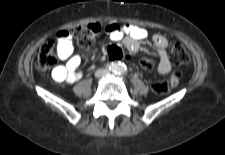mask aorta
<instances>
[{
	"instance_id": "aorta-1",
	"label": "aorta",
	"mask_w": 225,
	"mask_h": 155,
	"mask_svg": "<svg viewBox=\"0 0 225 155\" xmlns=\"http://www.w3.org/2000/svg\"><path fill=\"white\" fill-rule=\"evenodd\" d=\"M125 70H126L125 65H124V64H121V63H120V64H117V66L115 67V71H116V73H118V74L124 73Z\"/></svg>"
}]
</instances>
